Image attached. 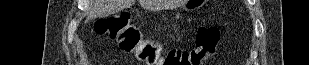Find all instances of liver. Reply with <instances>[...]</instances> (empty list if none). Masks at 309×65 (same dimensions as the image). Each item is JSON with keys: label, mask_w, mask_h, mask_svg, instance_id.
I'll use <instances>...</instances> for the list:
<instances>
[{"label": "liver", "mask_w": 309, "mask_h": 65, "mask_svg": "<svg viewBox=\"0 0 309 65\" xmlns=\"http://www.w3.org/2000/svg\"><path fill=\"white\" fill-rule=\"evenodd\" d=\"M140 4L143 8L153 11L165 6L163 3L155 0H140ZM130 5V0H90L89 14L85 23L97 17H106L117 13Z\"/></svg>", "instance_id": "6515ba94"}]
</instances>
